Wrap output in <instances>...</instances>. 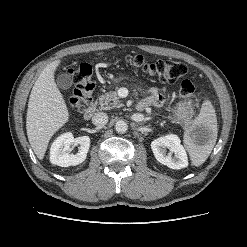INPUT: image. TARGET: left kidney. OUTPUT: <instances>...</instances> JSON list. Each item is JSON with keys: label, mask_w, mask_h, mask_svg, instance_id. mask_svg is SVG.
I'll use <instances>...</instances> for the list:
<instances>
[{"label": "left kidney", "mask_w": 247, "mask_h": 247, "mask_svg": "<svg viewBox=\"0 0 247 247\" xmlns=\"http://www.w3.org/2000/svg\"><path fill=\"white\" fill-rule=\"evenodd\" d=\"M151 149L157 161L171 169L188 166V157L177 135L169 134L152 141ZM167 149L169 152L167 153Z\"/></svg>", "instance_id": "left-kidney-1"}]
</instances>
